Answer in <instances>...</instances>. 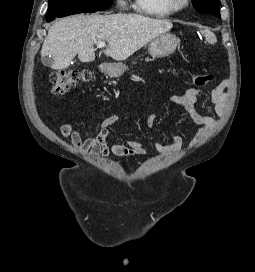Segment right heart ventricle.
<instances>
[{"instance_id": "right-heart-ventricle-1", "label": "right heart ventricle", "mask_w": 255, "mask_h": 272, "mask_svg": "<svg viewBox=\"0 0 255 272\" xmlns=\"http://www.w3.org/2000/svg\"><path fill=\"white\" fill-rule=\"evenodd\" d=\"M134 9L144 15L155 17H168L173 12L164 0H134Z\"/></svg>"}]
</instances>
